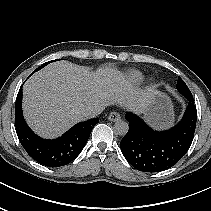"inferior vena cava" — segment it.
Returning a JSON list of instances; mask_svg holds the SVG:
<instances>
[{"label":"inferior vena cava","mask_w":211,"mask_h":211,"mask_svg":"<svg viewBox=\"0 0 211 211\" xmlns=\"http://www.w3.org/2000/svg\"><path fill=\"white\" fill-rule=\"evenodd\" d=\"M103 110H104V107H102V106L91 107L84 112V116L87 119L94 118V117L98 116Z\"/></svg>","instance_id":"602c4592"}]
</instances>
